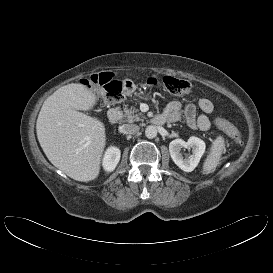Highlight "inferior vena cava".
I'll return each instance as SVG.
<instances>
[{
    "label": "inferior vena cava",
    "instance_id": "1",
    "mask_svg": "<svg viewBox=\"0 0 273 273\" xmlns=\"http://www.w3.org/2000/svg\"><path fill=\"white\" fill-rule=\"evenodd\" d=\"M140 130V127L136 124H125L123 126V132L125 134H131L134 135Z\"/></svg>",
    "mask_w": 273,
    "mask_h": 273
}]
</instances>
